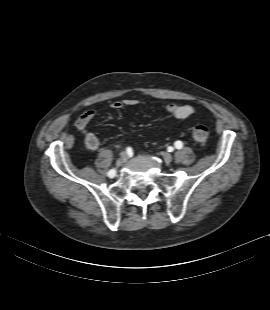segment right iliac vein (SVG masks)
Masks as SVG:
<instances>
[{"label":"right iliac vein","mask_w":270,"mask_h":310,"mask_svg":"<svg viewBox=\"0 0 270 310\" xmlns=\"http://www.w3.org/2000/svg\"><path fill=\"white\" fill-rule=\"evenodd\" d=\"M128 159V155L125 152L121 153L120 162H125Z\"/></svg>","instance_id":"63e3f726"}]
</instances>
